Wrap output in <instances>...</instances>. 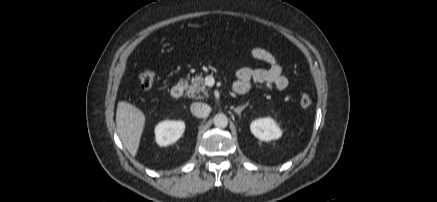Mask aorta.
Returning <instances> with one entry per match:
<instances>
[{
  "mask_svg": "<svg viewBox=\"0 0 437 202\" xmlns=\"http://www.w3.org/2000/svg\"><path fill=\"white\" fill-rule=\"evenodd\" d=\"M214 125L218 128H225L228 125V118L223 113H218L213 118Z\"/></svg>",
  "mask_w": 437,
  "mask_h": 202,
  "instance_id": "762f6f07",
  "label": "aorta"
}]
</instances>
